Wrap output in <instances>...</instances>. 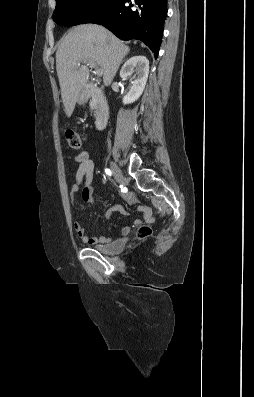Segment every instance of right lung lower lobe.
Segmentation results:
<instances>
[{"label":"right lung lower lobe","instance_id":"obj_1","mask_svg":"<svg viewBox=\"0 0 254 397\" xmlns=\"http://www.w3.org/2000/svg\"><path fill=\"white\" fill-rule=\"evenodd\" d=\"M114 0L109 8L90 23L105 26L122 40L138 39L158 57L167 0ZM129 4V5H128Z\"/></svg>","mask_w":254,"mask_h":397}]
</instances>
